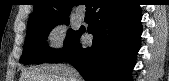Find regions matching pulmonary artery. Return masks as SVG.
Returning a JSON list of instances; mask_svg holds the SVG:
<instances>
[{
  "label": "pulmonary artery",
  "instance_id": "1",
  "mask_svg": "<svg viewBox=\"0 0 169 81\" xmlns=\"http://www.w3.org/2000/svg\"><path fill=\"white\" fill-rule=\"evenodd\" d=\"M78 15H79L80 18H83L85 16V11L84 10H80L78 12Z\"/></svg>",
  "mask_w": 169,
  "mask_h": 81
}]
</instances>
